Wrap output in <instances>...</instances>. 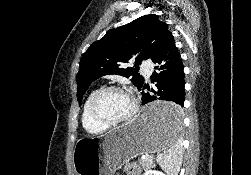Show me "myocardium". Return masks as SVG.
I'll return each instance as SVG.
<instances>
[{"instance_id":"1","label":"myocardium","mask_w":251,"mask_h":175,"mask_svg":"<svg viewBox=\"0 0 251 175\" xmlns=\"http://www.w3.org/2000/svg\"><path fill=\"white\" fill-rule=\"evenodd\" d=\"M115 90L122 91V92L126 93L129 96V94L126 92V90L124 88H122V87H120L118 85H110V86H106V87L101 88L95 94V96L92 99L91 104H90V114H91V117L93 118V120L98 122L99 124L107 127V128L116 127V126H119V125L124 124L126 122H129L130 120H132L136 116V114L138 112V105H137L136 101L129 96L130 99H131L132 108H131V111L126 116H124L123 118L118 119L116 121H111V120L105 118L99 112L98 104L100 102V99L106 93H108L110 91H115Z\"/></svg>"}]
</instances>
